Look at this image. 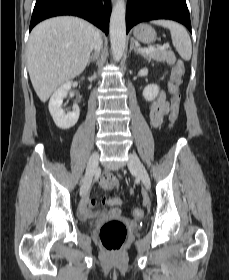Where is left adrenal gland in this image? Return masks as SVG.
<instances>
[{
    "label": "left adrenal gland",
    "mask_w": 229,
    "mask_h": 280,
    "mask_svg": "<svg viewBox=\"0 0 229 280\" xmlns=\"http://www.w3.org/2000/svg\"><path fill=\"white\" fill-rule=\"evenodd\" d=\"M132 50H134L135 53H137V54L139 53V50H138V48L135 46L133 40L131 41V44H130V53H131Z\"/></svg>",
    "instance_id": "obj_1"
}]
</instances>
